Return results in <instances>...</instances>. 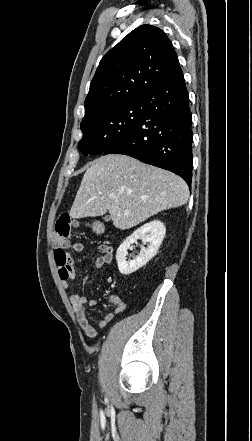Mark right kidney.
<instances>
[{
  "label": "right kidney",
  "instance_id": "1",
  "mask_svg": "<svg viewBox=\"0 0 252 441\" xmlns=\"http://www.w3.org/2000/svg\"><path fill=\"white\" fill-rule=\"evenodd\" d=\"M166 228L160 220H153L138 228L119 246L116 252V261L121 274L129 275L146 265L158 252L164 239ZM137 239L149 243L147 248H141L139 255L131 261H126L127 250Z\"/></svg>",
  "mask_w": 252,
  "mask_h": 441
}]
</instances>
